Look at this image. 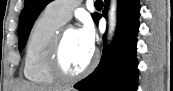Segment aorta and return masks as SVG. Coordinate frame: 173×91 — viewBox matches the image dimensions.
<instances>
[{"label": "aorta", "instance_id": "762f6f07", "mask_svg": "<svg viewBox=\"0 0 173 91\" xmlns=\"http://www.w3.org/2000/svg\"><path fill=\"white\" fill-rule=\"evenodd\" d=\"M116 4L117 1L116 0H112L111 1V7H110V33L112 34V32L115 29L116 26Z\"/></svg>", "mask_w": 173, "mask_h": 91}]
</instances>
